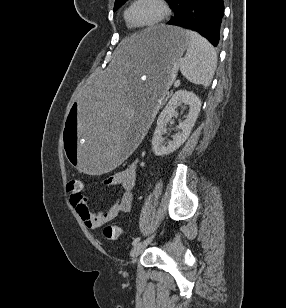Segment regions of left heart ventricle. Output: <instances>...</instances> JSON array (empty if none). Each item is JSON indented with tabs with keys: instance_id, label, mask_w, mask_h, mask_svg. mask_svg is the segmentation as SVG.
Masks as SVG:
<instances>
[{
	"instance_id": "b2bd125f",
	"label": "left heart ventricle",
	"mask_w": 286,
	"mask_h": 308,
	"mask_svg": "<svg viewBox=\"0 0 286 308\" xmlns=\"http://www.w3.org/2000/svg\"><path fill=\"white\" fill-rule=\"evenodd\" d=\"M160 14L155 0H139L130 11V20L135 25H144L155 21Z\"/></svg>"
}]
</instances>
